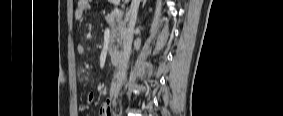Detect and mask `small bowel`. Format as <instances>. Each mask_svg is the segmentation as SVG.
<instances>
[{"label":"small bowel","instance_id":"obj_1","mask_svg":"<svg viewBox=\"0 0 283 116\" xmlns=\"http://www.w3.org/2000/svg\"><path fill=\"white\" fill-rule=\"evenodd\" d=\"M89 6L88 0H79L78 6L74 11V19L75 20H82L85 17V14L87 12ZM76 51L78 54L82 55L85 52L84 46L79 44L76 47ZM96 100V94L93 92H89L86 96V104L81 106V111H85L89 108L91 104H93ZM113 100L111 97H107L105 102L101 105L100 109V115L101 116H113V110H112Z\"/></svg>","mask_w":283,"mask_h":116}]
</instances>
